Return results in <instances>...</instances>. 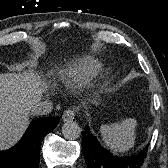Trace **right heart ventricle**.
<instances>
[{"instance_id": "e07e8e85", "label": "right heart ventricle", "mask_w": 168, "mask_h": 168, "mask_svg": "<svg viewBox=\"0 0 168 168\" xmlns=\"http://www.w3.org/2000/svg\"><path fill=\"white\" fill-rule=\"evenodd\" d=\"M100 66V63L92 58L83 59L67 70L65 78L76 82L84 81L92 76Z\"/></svg>"}]
</instances>
